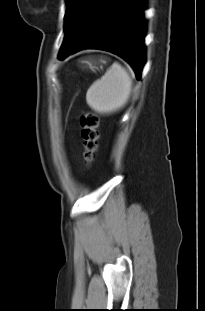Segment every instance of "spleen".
Segmentation results:
<instances>
[{
  "mask_svg": "<svg viewBox=\"0 0 205 311\" xmlns=\"http://www.w3.org/2000/svg\"><path fill=\"white\" fill-rule=\"evenodd\" d=\"M132 90L129 73L114 62L106 73L96 80L86 93L87 104L97 113L109 114L122 108Z\"/></svg>",
  "mask_w": 205,
  "mask_h": 311,
  "instance_id": "1",
  "label": "spleen"
}]
</instances>
